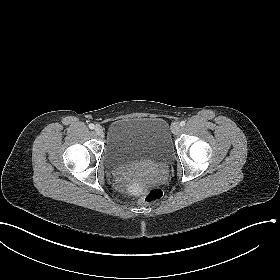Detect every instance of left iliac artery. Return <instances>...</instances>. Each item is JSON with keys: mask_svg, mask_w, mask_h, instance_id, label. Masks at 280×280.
<instances>
[{"mask_svg": "<svg viewBox=\"0 0 280 280\" xmlns=\"http://www.w3.org/2000/svg\"><path fill=\"white\" fill-rule=\"evenodd\" d=\"M185 124H186L185 121H181V122H180V125H181V126H185Z\"/></svg>", "mask_w": 280, "mask_h": 280, "instance_id": "44dca946", "label": "left iliac artery"}]
</instances>
